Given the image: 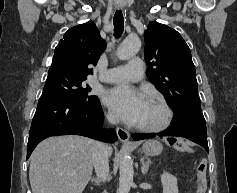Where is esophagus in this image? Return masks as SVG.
Segmentation results:
<instances>
[{"instance_id": "esophagus-1", "label": "esophagus", "mask_w": 237, "mask_h": 193, "mask_svg": "<svg viewBox=\"0 0 237 193\" xmlns=\"http://www.w3.org/2000/svg\"><path fill=\"white\" fill-rule=\"evenodd\" d=\"M116 132L118 135L119 140L124 143V144H131L129 138H130V134L127 130L121 128V127H117L116 128Z\"/></svg>"}]
</instances>
